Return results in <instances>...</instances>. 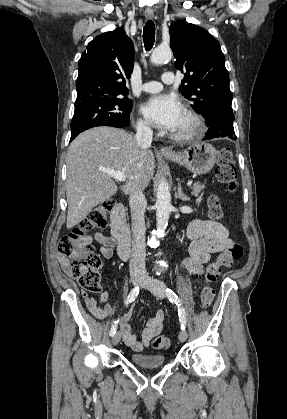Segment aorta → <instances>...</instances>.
Returning <instances> with one entry per match:
<instances>
[{"label": "aorta", "mask_w": 287, "mask_h": 419, "mask_svg": "<svg viewBox=\"0 0 287 419\" xmlns=\"http://www.w3.org/2000/svg\"><path fill=\"white\" fill-rule=\"evenodd\" d=\"M172 58V51L169 47H157L153 50L151 55V62L153 64H162ZM156 221L157 232L159 236H163L168 225L172 205L169 184L166 179H161L156 194Z\"/></svg>", "instance_id": "obj_1"}]
</instances>
